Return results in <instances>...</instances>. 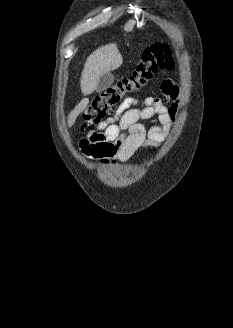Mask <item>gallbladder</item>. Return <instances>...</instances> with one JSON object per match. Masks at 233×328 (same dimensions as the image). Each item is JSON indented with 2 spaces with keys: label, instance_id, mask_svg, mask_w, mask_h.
I'll use <instances>...</instances> for the list:
<instances>
[{
  "label": "gallbladder",
  "instance_id": "obj_1",
  "mask_svg": "<svg viewBox=\"0 0 233 328\" xmlns=\"http://www.w3.org/2000/svg\"><path fill=\"white\" fill-rule=\"evenodd\" d=\"M113 82L114 76L110 72L104 73L99 78L96 91L100 93L107 90L113 84Z\"/></svg>",
  "mask_w": 233,
  "mask_h": 328
}]
</instances>
